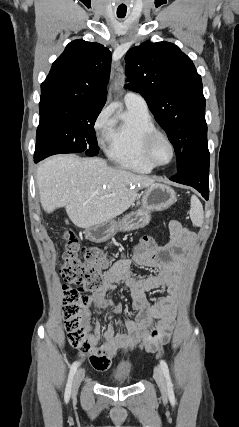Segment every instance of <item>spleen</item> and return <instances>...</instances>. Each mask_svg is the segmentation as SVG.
<instances>
[{"label":"spleen","instance_id":"spleen-1","mask_svg":"<svg viewBox=\"0 0 239 427\" xmlns=\"http://www.w3.org/2000/svg\"><path fill=\"white\" fill-rule=\"evenodd\" d=\"M190 218L192 223L201 227L204 222V211L200 200L196 196L191 197Z\"/></svg>","mask_w":239,"mask_h":427}]
</instances>
